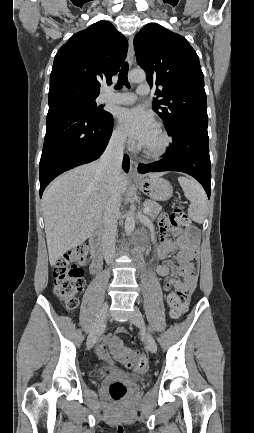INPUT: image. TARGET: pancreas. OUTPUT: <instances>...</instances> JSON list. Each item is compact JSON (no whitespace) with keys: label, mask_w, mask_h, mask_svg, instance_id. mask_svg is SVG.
<instances>
[{"label":"pancreas","mask_w":254,"mask_h":433,"mask_svg":"<svg viewBox=\"0 0 254 433\" xmlns=\"http://www.w3.org/2000/svg\"><path fill=\"white\" fill-rule=\"evenodd\" d=\"M145 206L149 207V212L147 213V216L152 218V219H155L162 209L161 205H159L157 202L152 201V200H146Z\"/></svg>","instance_id":"1"}]
</instances>
